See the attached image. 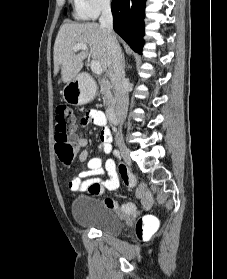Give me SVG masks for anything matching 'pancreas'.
Instances as JSON below:
<instances>
[{
	"label": "pancreas",
	"mask_w": 227,
	"mask_h": 279,
	"mask_svg": "<svg viewBox=\"0 0 227 279\" xmlns=\"http://www.w3.org/2000/svg\"><path fill=\"white\" fill-rule=\"evenodd\" d=\"M101 93L103 95V103L106 108L111 107L115 103V97L110 83L101 81Z\"/></svg>",
	"instance_id": "obj_1"
}]
</instances>
